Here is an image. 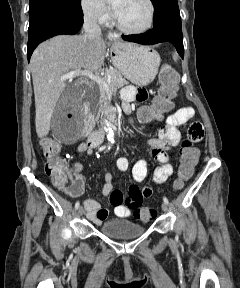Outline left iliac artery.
I'll list each match as a JSON object with an SVG mask.
<instances>
[{
  "label": "left iliac artery",
  "mask_w": 240,
  "mask_h": 288,
  "mask_svg": "<svg viewBox=\"0 0 240 288\" xmlns=\"http://www.w3.org/2000/svg\"><path fill=\"white\" fill-rule=\"evenodd\" d=\"M163 201L168 205L169 204V201L166 197H163Z\"/></svg>",
  "instance_id": "1"
}]
</instances>
